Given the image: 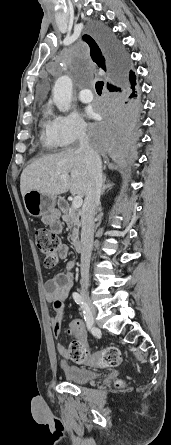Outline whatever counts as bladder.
Returning a JSON list of instances; mask_svg holds the SVG:
<instances>
[{
	"label": "bladder",
	"instance_id": "31cf9c89",
	"mask_svg": "<svg viewBox=\"0 0 171 445\" xmlns=\"http://www.w3.org/2000/svg\"><path fill=\"white\" fill-rule=\"evenodd\" d=\"M66 378L71 383H88L98 378L96 370L90 368L70 367L65 371Z\"/></svg>",
	"mask_w": 171,
	"mask_h": 445
}]
</instances>
